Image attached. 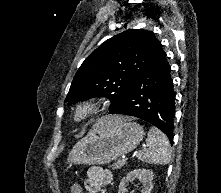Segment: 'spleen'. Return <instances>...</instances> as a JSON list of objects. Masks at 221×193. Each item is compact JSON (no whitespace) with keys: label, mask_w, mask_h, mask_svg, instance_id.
Here are the masks:
<instances>
[{"label":"spleen","mask_w":221,"mask_h":193,"mask_svg":"<svg viewBox=\"0 0 221 193\" xmlns=\"http://www.w3.org/2000/svg\"><path fill=\"white\" fill-rule=\"evenodd\" d=\"M147 149L137 153V158L149 164L166 165L170 162V144L166 135L155 127H151L146 139Z\"/></svg>","instance_id":"1"}]
</instances>
